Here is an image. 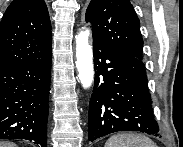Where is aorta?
I'll return each mask as SVG.
<instances>
[{
	"instance_id": "aorta-1",
	"label": "aorta",
	"mask_w": 183,
	"mask_h": 147,
	"mask_svg": "<svg viewBox=\"0 0 183 147\" xmlns=\"http://www.w3.org/2000/svg\"><path fill=\"white\" fill-rule=\"evenodd\" d=\"M90 31L84 30L76 36V68L83 88H89L94 80L93 54L89 45Z\"/></svg>"
}]
</instances>
